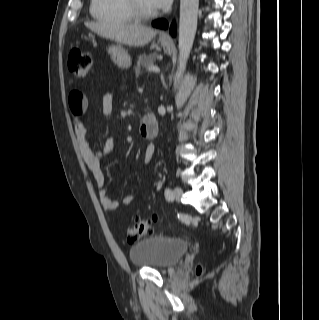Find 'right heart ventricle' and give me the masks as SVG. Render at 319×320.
<instances>
[{
    "mask_svg": "<svg viewBox=\"0 0 319 320\" xmlns=\"http://www.w3.org/2000/svg\"><path fill=\"white\" fill-rule=\"evenodd\" d=\"M90 14L98 21L111 24H129L134 20L126 0H91Z\"/></svg>",
    "mask_w": 319,
    "mask_h": 320,
    "instance_id": "right-heart-ventricle-1",
    "label": "right heart ventricle"
}]
</instances>
